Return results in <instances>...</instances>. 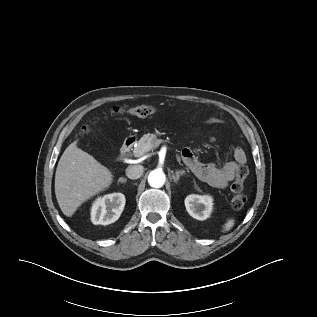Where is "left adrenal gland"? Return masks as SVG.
I'll return each instance as SVG.
<instances>
[{
	"mask_svg": "<svg viewBox=\"0 0 317 317\" xmlns=\"http://www.w3.org/2000/svg\"><path fill=\"white\" fill-rule=\"evenodd\" d=\"M185 174V171L184 170H179V171H176L175 174L172 175V179L175 183H177L180 179V176Z\"/></svg>",
	"mask_w": 317,
	"mask_h": 317,
	"instance_id": "left-adrenal-gland-1",
	"label": "left adrenal gland"
}]
</instances>
